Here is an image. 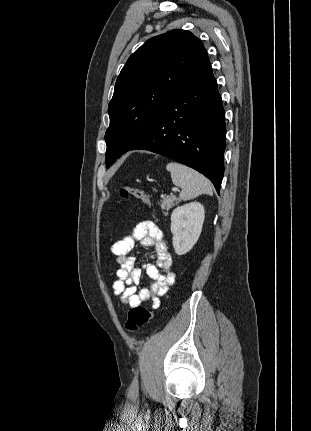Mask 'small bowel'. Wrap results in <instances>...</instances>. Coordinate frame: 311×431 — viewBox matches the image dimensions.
Wrapping results in <instances>:
<instances>
[{
  "label": "small bowel",
  "mask_w": 311,
  "mask_h": 431,
  "mask_svg": "<svg viewBox=\"0 0 311 431\" xmlns=\"http://www.w3.org/2000/svg\"><path fill=\"white\" fill-rule=\"evenodd\" d=\"M136 242L151 248L153 250L151 258L156 262V265L145 266L152 283L140 290L137 289V285L142 271L135 267V258L130 255ZM111 252L119 265L113 284L114 293L120 296L123 303L132 308L140 306L147 300L153 301L154 308L159 307V298L174 282V274L171 270L172 258L160 226L152 220H142L129 234L112 245Z\"/></svg>",
  "instance_id": "1"
}]
</instances>
